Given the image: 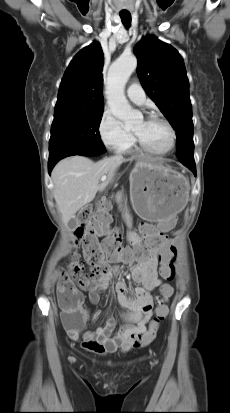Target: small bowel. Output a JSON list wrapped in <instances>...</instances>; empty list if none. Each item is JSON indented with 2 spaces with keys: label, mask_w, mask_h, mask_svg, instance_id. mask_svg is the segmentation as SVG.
Returning a JSON list of instances; mask_svg holds the SVG:
<instances>
[{
  "label": "small bowel",
  "mask_w": 230,
  "mask_h": 413,
  "mask_svg": "<svg viewBox=\"0 0 230 413\" xmlns=\"http://www.w3.org/2000/svg\"><path fill=\"white\" fill-rule=\"evenodd\" d=\"M177 221V215H172L171 218H161V221L156 223L155 229L151 226V218H142L141 230L143 237L148 241L155 236H159V231H172ZM129 240L134 248L140 247L143 241L135 232L129 233ZM119 260L120 258H109L108 261L115 263ZM157 266L156 257L150 256L132 268L131 277L139 284L134 289L132 297L126 295V286L123 282L115 284L116 300L121 307L120 318L123 322L122 328L116 332V321L110 315L105 317L103 326L98 327L94 331L82 332V327L89 319L90 312L82 306L83 299L80 291L72 289V292L79 296L78 310L81 314V323L74 324L71 313L63 311L61 318L69 337L74 341H81L83 349L95 354L111 353L117 349L127 350L134 338L146 332V324L153 312V296L150 292L158 289L161 296L166 299L173 295V287L168 283H163L162 279L165 278L157 273ZM118 270L116 265L109 266L100 283H87L84 286H80L81 290H88V300L90 303H98L99 291L105 290L109 286L110 280L118 273ZM58 293H60V286ZM100 316L101 313L97 311L92 315V319L97 320Z\"/></svg>",
  "instance_id": "1"
}]
</instances>
